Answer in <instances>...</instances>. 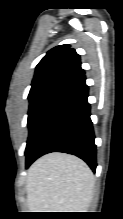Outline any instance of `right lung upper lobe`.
Listing matches in <instances>:
<instances>
[{
	"label": "right lung upper lobe",
	"instance_id": "obj_1",
	"mask_svg": "<svg viewBox=\"0 0 123 219\" xmlns=\"http://www.w3.org/2000/svg\"><path fill=\"white\" fill-rule=\"evenodd\" d=\"M82 74L80 56L70 45H60L48 51L37 65L31 89L52 81L71 82Z\"/></svg>",
	"mask_w": 123,
	"mask_h": 219
}]
</instances>
